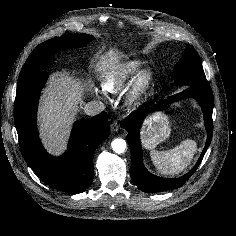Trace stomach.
<instances>
[{
  "label": "stomach",
  "mask_w": 236,
  "mask_h": 236,
  "mask_svg": "<svg viewBox=\"0 0 236 236\" xmlns=\"http://www.w3.org/2000/svg\"><path fill=\"white\" fill-rule=\"evenodd\" d=\"M171 133L168 116L163 113L153 115L146 121L141 131V141L145 149H153L165 141Z\"/></svg>",
  "instance_id": "1"
}]
</instances>
